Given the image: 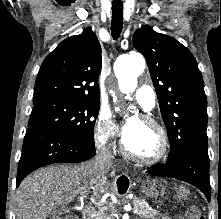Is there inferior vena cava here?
Returning a JSON list of instances; mask_svg holds the SVG:
<instances>
[{
	"instance_id": "1",
	"label": "inferior vena cava",
	"mask_w": 221,
	"mask_h": 219,
	"mask_svg": "<svg viewBox=\"0 0 221 219\" xmlns=\"http://www.w3.org/2000/svg\"><path fill=\"white\" fill-rule=\"evenodd\" d=\"M94 164L99 173H105L112 166V154L107 146H102L98 149Z\"/></svg>"
}]
</instances>
